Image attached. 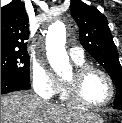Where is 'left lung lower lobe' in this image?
<instances>
[{
    "label": "left lung lower lobe",
    "mask_w": 122,
    "mask_h": 123,
    "mask_svg": "<svg viewBox=\"0 0 122 123\" xmlns=\"http://www.w3.org/2000/svg\"><path fill=\"white\" fill-rule=\"evenodd\" d=\"M114 109L122 110V104H115Z\"/></svg>",
    "instance_id": "obj_1"
}]
</instances>
